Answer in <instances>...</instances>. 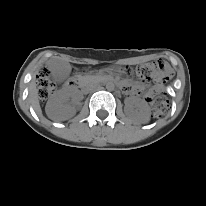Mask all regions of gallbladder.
<instances>
[{
    "label": "gallbladder",
    "instance_id": "1",
    "mask_svg": "<svg viewBox=\"0 0 206 206\" xmlns=\"http://www.w3.org/2000/svg\"><path fill=\"white\" fill-rule=\"evenodd\" d=\"M46 66L51 72L52 79L56 82L65 80L71 72V65L68 62L58 59L49 60L46 63Z\"/></svg>",
    "mask_w": 206,
    "mask_h": 206
}]
</instances>
